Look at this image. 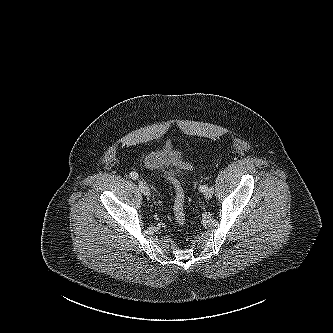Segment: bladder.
<instances>
[{"mask_svg": "<svg viewBox=\"0 0 333 333\" xmlns=\"http://www.w3.org/2000/svg\"><path fill=\"white\" fill-rule=\"evenodd\" d=\"M144 165L151 171L168 169L178 175L189 172L192 167L178 151L167 147L148 153L144 158Z\"/></svg>", "mask_w": 333, "mask_h": 333, "instance_id": "bladder-1", "label": "bladder"}]
</instances>
